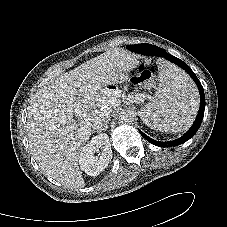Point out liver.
Returning <instances> with one entry per match:
<instances>
[{
  "mask_svg": "<svg viewBox=\"0 0 227 227\" xmlns=\"http://www.w3.org/2000/svg\"><path fill=\"white\" fill-rule=\"evenodd\" d=\"M136 64L129 52L114 49L62 74L36 92L28 107L27 137L34 159L48 177L70 189L85 187L78 164L81 151L94 130L95 120L109 116L120 103L107 87L125 81ZM75 106L86 115L77 114Z\"/></svg>",
  "mask_w": 227,
  "mask_h": 227,
  "instance_id": "obj_1",
  "label": "liver"
}]
</instances>
